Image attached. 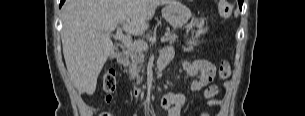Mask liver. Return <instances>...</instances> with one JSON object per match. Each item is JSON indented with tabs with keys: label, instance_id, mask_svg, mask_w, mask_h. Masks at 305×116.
<instances>
[{
	"label": "liver",
	"instance_id": "obj_1",
	"mask_svg": "<svg viewBox=\"0 0 305 116\" xmlns=\"http://www.w3.org/2000/svg\"><path fill=\"white\" fill-rule=\"evenodd\" d=\"M172 0H66L62 7L61 40L67 70L73 83L88 95L113 54L108 34L122 25L129 35L149 28L159 5Z\"/></svg>",
	"mask_w": 305,
	"mask_h": 116
}]
</instances>
